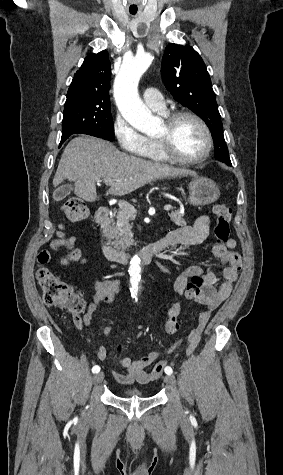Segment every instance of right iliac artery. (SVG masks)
Instances as JSON below:
<instances>
[{
	"label": "right iliac artery",
	"mask_w": 283,
	"mask_h": 475,
	"mask_svg": "<svg viewBox=\"0 0 283 475\" xmlns=\"http://www.w3.org/2000/svg\"><path fill=\"white\" fill-rule=\"evenodd\" d=\"M100 371V367L98 365H95L93 368H92V372L93 373H98Z\"/></svg>",
	"instance_id": "obj_1"
}]
</instances>
